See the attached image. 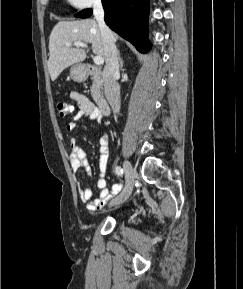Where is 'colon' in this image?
<instances>
[{"instance_id": "colon-1", "label": "colon", "mask_w": 243, "mask_h": 289, "mask_svg": "<svg viewBox=\"0 0 243 289\" xmlns=\"http://www.w3.org/2000/svg\"><path fill=\"white\" fill-rule=\"evenodd\" d=\"M59 116L65 118L73 113L74 107L68 102H59L57 104Z\"/></svg>"}]
</instances>
